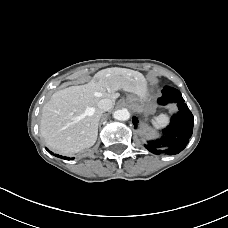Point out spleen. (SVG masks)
<instances>
[{
  "label": "spleen",
  "instance_id": "obj_1",
  "mask_svg": "<svg viewBox=\"0 0 228 228\" xmlns=\"http://www.w3.org/2000/svg\"><path fill=\"white\" fill-rule=\"evenodd\" d=\"M152 123L157 129L165 127L168 124V116L161 114L158 117H153Z\"/></svg>",
  "mask_w": 228,
  "mask_h": 228
}]
</instances>
